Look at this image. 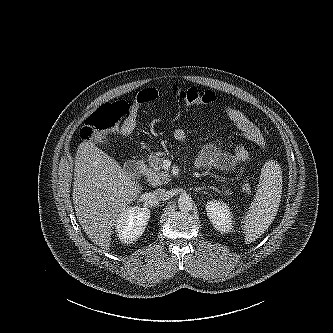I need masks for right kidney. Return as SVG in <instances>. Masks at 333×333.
Returning a JSON list of instances; mask_svg holds the SVG:
<instances>
[{
  "label": "right kidney",
  "mask_w": 333,
  "mask_h": 333,
  "mask_svg": "<svg viewBox=\"0 0 333 333\" xmlns=\"http://www.w3.org/2000/svg\"><path fill=\"white\" fill-rule=\"evenodd\" d=\"M150 218V210L146 207H128L120 213L116 221V232L119 240L130 244L141 237Z\"/></svg>",
  "instance_id": "1"
}]
</instances>
